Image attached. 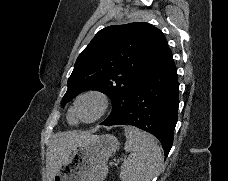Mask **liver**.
<instances>
[{
	"instance_id": "liver-1",
	"label": "liver",
	"mask_w": 228,
	"mask_h": 181,
	"mask_svg": "<svg viewBox=\"0 0 228 181\" xmlns=\"http://www.w3.org/2000/svg\"><path fill=\"white\" fill-rule=\"evenodd\" d=\"M94 135L92 133H56L52 145L47 149L46 167L48 181H53L61 167L66 163L69 153L75 145H86Z\"/></svg>"
}]
</instances>
